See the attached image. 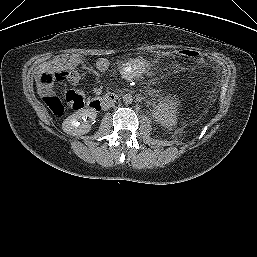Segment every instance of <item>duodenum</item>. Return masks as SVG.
<instances>
[{
	"label": "duodenum",
	"mask_w": 257,
	"mask_h": 257,
	"mask_svg": "<svg viewBox=\"0 0 257 257\" xmlns=\"http://www.w3.org/2000/svg\"><path fill=\"white\" fill-rule=\"evenodd\" d=\"M118 100V95L113 92L106 93L102 96L96 97L88 102V108L91 111L98 112L102 109L109 108Z\"/></svg>",
	"instance_id": "duodenum-1"
}]
</instances>
